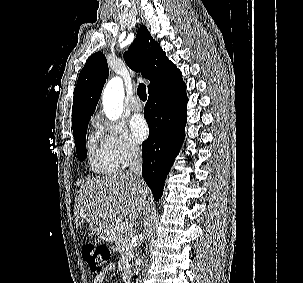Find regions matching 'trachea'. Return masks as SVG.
Masks as SVG:
<instances>
[{"label":"trachea","instance_id":"1","mask_svg":"<svg viewBox=\"0 0 303 283\" xmlns=\"http://www.w3.org/2000/svg\"><path fill=\"white\" fill-rule=\"evenodd\" d=\"M137 95L143 101L147 99L146 86L143 83H140L137 88Z\"/></svg>","mask_w":303,"mask_h":283}]
</instances>
